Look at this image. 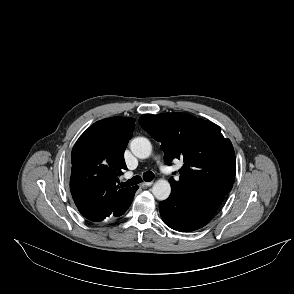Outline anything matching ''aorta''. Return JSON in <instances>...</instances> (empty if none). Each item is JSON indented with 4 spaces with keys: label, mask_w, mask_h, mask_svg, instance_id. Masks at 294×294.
<instances>
[{
    "label": "aorta",
    "mask_w": 294,
    "mask_h": 294,
    "mask_svg": "<svg viewBox=\"0 0 294 294\" xmlns=\"http://www.w3.org/2000/svg\"><path fill=\"white\" fill-rule=\"evenodd\" d=\"M132 153L140 159H146L151 155L152 145L145 137H136L130 143ZM152 193L156 199L166 200L171 193L170 183L165 179H159L152 187Z\"/></svg>",
    "instance_id": "obj_1"
}]
</instances>
